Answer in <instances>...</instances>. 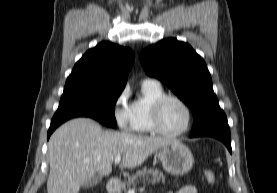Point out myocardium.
Segmentation results:
<instances>
[{"label": "myocardium", "mask_w": 277, "mask_h": 193, "mask_svg": "<svg viewBox=\"0 0 277 193\" xmlns=\"http://www.w3.org/2000/svg\"><path fill=\"white\" fill-rule=\"evenodd\" d=\"M167 100H175V101L179 102L184 107V109L187 113L186 125L184 126V128H182L179 131H176V132L167 131L164 129V127L162 125L161 110H162L164 103ZM192 120H193V115H192V110H191L190 106L184 99H182L181 97H179L175 94H164V95L160 96L159 98H157L154 101V103L152 104V107H151L152 128H153L154 132L159 135H162L165 137H178L180 135H183L190 129V127L192 125Z\"/></svg>", "instance_id": "f54148a6"}]
</instances>
